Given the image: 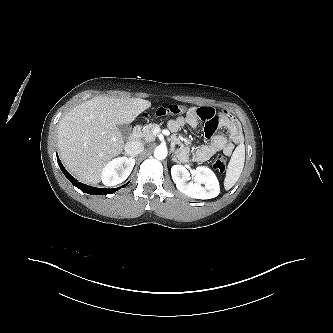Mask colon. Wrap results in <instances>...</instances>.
<instances>
[{"instance_id": "5ec220e1", "label": "colon", "mask_w": 333, "mask_h": 333, "mask_svg": "<svg viewBox=\"0 0 333 333\" xmlns=\"http://www.w3.org/2000/svg\"><path fill=\"white\" fill-rule=\"evenodd\" d=\"M186 111L184 105L171 104L164 107H159L155 111V115L158 117H164L169 115H180ZM227 166V160L224 155L219 154L215 157L213 161V167L219 172H224Z\"/></svg>"}]
</instances>
